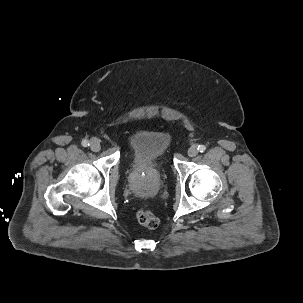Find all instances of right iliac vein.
<instances>
[{
  "label": "right iliac vein",
  "mask_w": 303,
  "mask_h": 303,
  "mask_svg": "<svg viewBox=\"0 0 303 303\" xmlns=\"http://www.w3.org/2000/svg\"><path fill=\"white\" fill-rule=\"evenodd\" d=\"M90 148L92 151H95V152L99 151L101 148L100 141L96 138L92 139L90 142Z\"/></svg>",
  "instance_id": "obj_1"
}]
</instances>
